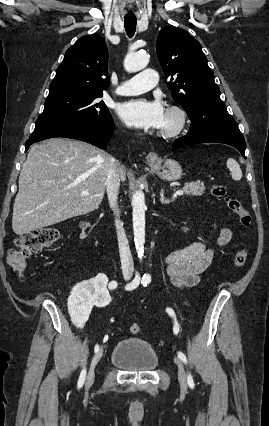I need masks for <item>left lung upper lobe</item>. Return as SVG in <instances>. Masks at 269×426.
I'll return each mask as SVG.
<instances>
[{"mask_svg":"<svg viewBox=\"0 0 269 426\" xmlns=\"http://www.w3.org/2000/svg\"><path fill=\"white\" fill-rule=\"evenodd\" d=\"M156 50L173 99L193 116L204 108H221L220 89L200 43L185 30L166 26L160 30Z\"/></svg>","mask_w":269,"mask_h":426,"instance_id":"left-lung-upper-lobe-1","label":"left lung upper lobe"}]
</instances>
